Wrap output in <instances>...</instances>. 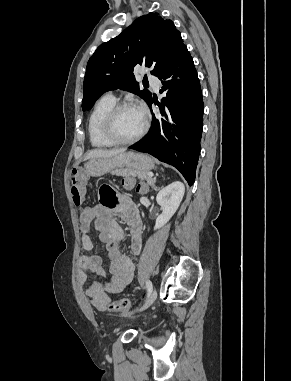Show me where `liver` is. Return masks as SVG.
<instances>
[{"label":"liver","instance_id":"1","mask_svg":"<svg viewBox=\"0 0 291 381\" xmlns=\"http://www.w3.org/2000/svg\"><path fill=\"white\" fill-rule=\"evenodd\" d=\"M125 149H113V150H107V149H94L87 153L84 160L93 159V158H106L111 157L120 153H124Z\"/></svg>","mask_w":291,"mask_h":381}]
</instances>
